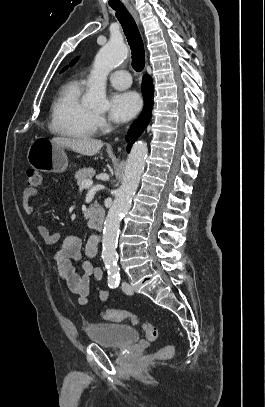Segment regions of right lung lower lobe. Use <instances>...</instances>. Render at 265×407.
Here are the masks:
<instances>
[{"mask_svg":"<svg viewBox=\"0 0 265 407\" xmlns=\"http://www.w3.org/2000/svg\"><path fill=\"white\" fill-rule=\"evenodd\" d=\"M141 89L144 98V108L139 118L132 124L131 128L128 131L127 140H130L132 143H134L142 134L151 119L154 88L152 79L148 74L143 76ZM132 143H129L127 146L128 152L130 151Z\"/></svg>","mask_w":265,"mask_h":407,"instance_id":"right-lung-lower-lobe-1","label":"right lung lower lobe"}]
</instances>
